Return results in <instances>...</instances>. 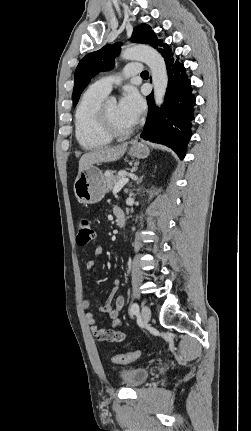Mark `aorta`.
<instances>
[{
  "label": "aorta",
  "instance_id": "aorta-1",
  "mask_svg": "<svg viewBox=\"0 0 251 431\" xmlns=\"http://www.w3.org/2000/svg\"><path fill=\"white\" fill-rule=\"evenodd\" d=\"M121 57L126 60H140L148 65L152 76L154 100L160 107L168 86V74L163 57L155 49L145 45L126 48L122 51Z\"/></svg>",
  "mask_w": 251,
  "mask_h": 431
}]
</instances>
